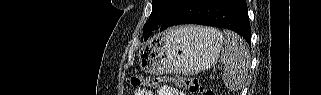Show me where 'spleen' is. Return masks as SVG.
I'll use <instances>...</instances> for the list:
<instances>
[{
    "label": "spleen",
    "mask_w": 321,
    "mask_h": 95,
    "mask_svg": "<svg viewBox=\"0 0 321 95\" xmlns=\"http://www.w3.org/2000/svg\"><path fill=\"white\" fill-rule=\"evenodd\" d=\"M203 31H214L202 28ZM226 42L221 52V62L224 65L223 81L230 90L237 91L244 86L250 66L249 48L241 36L226 30Z\"/></svg>",
    "instance_id": "obj_1"
}]
</instances>
